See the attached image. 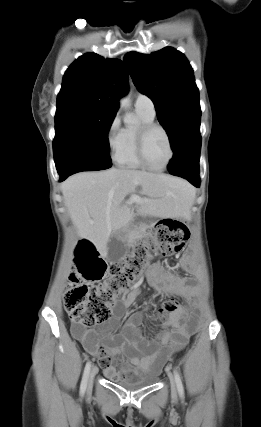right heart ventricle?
<instances>
[{
    "label": "right heart ventricle",
    "mask_w": 261,
    "mask_h": 427,
    "mask_svg": "<svg viewBox=\"0 0 261 427\" xmlns=\"http://www.w3.org/2000/svg\"><path fill=\"white\" fill-rule=\"evenodd\" d=\"M141 125L153 123L154 117H149L144 112L136 110ZM138 127L126 126L122 130L121 144L114 158L116 163L127 169L145 168L138 159L136 152V132Z\"/></svg>",
    "instance_id": "1"
}]
</instances>
